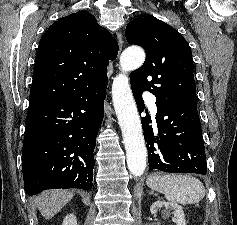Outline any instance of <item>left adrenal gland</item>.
<instances>
[{
	"label": "left adrenal gland",
	"instance_id": "obj_1",
	"mask_svg": "<svg viewBox=\"0 0 237 225\" xmlns=\"http://www.w3.org/2000/svg\"><path fill=\"white\" fill-rule=\"evenodd\" d=\"M149 194H154V192H153V191H150ZM155 195H156V194H155Z\"/></svg>",
	"mask_w": 237,
	"mask_h": 225
}]
</instances>
